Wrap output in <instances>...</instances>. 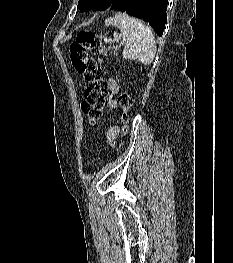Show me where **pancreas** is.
Listing matches in <instances>:
<instances>
[{
  "label": "pancreas",
  "instance_id": "pancreas-1",
  "mask_svg": "<svg viewBox=\"0 0 233 263\" xmlns=\"http://www.w3.org/2000/svg\"><path fill=\"white\" fill-rule=\"evenodd\" d=\"M111 51H114V54L117 56L118 55V50L120 49L119 45L113 46L109 48Z\"/></svg>",
  "mask_w": 233,
  "mask_h": 263
}]
</instances>
